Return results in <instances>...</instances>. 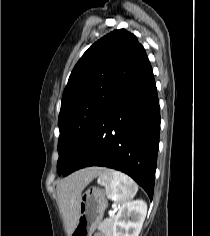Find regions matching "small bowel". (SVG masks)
I'll return each mask as SVG.
<instances>
[{"mask_svg": "<svg viewBox=\"0 0 210 236\" xmlns=\"http://www.w3.org/2000/svg\"><path fill=\"white\" fill-rule=\"evenodd\" d=\"M95 236H104V235H102V234H96Z\"/></svg>", "mask_w": 210, "mask_h": 236, "instance_id": "small-bowel-1", "label": "small bowel"}]
</instances>
